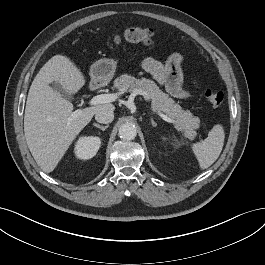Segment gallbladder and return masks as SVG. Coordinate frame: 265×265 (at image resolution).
I'll list each match as a JSON object with an SVG mask.
<instances>
[{
	"label": "gallbladder",
	"instance_id": "1",
	"mask_svg": "<svg viewBox=\"0 0 265 265\" xmlns=\"http://www.w3.org/2000/svg\"><path fill=\"white\" fill-rule=\"evenodd\" d=\"M51 86L55 91L59 92L62 96L66 98L70 97L69 94L62 88V86L59 83L54 82L52 83Z\"/></svg>",
	"mask_w": 265,
	"mask_h": 265
}]
</instances>
